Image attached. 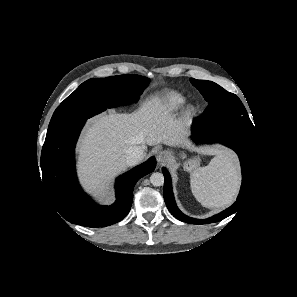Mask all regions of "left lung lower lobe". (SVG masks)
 Instances as JSON below:
<instances>
[{"label":"left lung lower lobe","instance_id":"obj_1","mask_svg":"<svg viewBox=\"0 0 297 297\" xmlns=\"http://www.w3.org/2000/svg\"><path fill=\"white\" fill-rule=\"evenodd\" d=\"M193 141L196 143H221L233 149L239 156L242 169V185L237 201L222 211L207 219H194L183 214L177 207L172 192L171 177L166 168H162L165 177L163 195L167 208L171 214L180 221L190 224H209L218 222L232 214H235L246 202L253 186L254 175L257 170L258 145L256 137L242 130L218 127L201 129L194 123L192 126Z\"/></svg>","mask_w":297,"mask_h":297}]
</instances>
